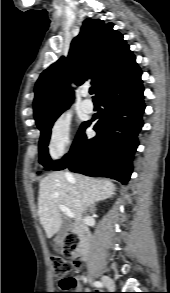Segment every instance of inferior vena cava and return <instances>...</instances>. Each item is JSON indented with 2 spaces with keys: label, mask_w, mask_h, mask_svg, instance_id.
Returning a JSON list of instances; mask_svg holds the SVG:
<instances>
[{
  "label": "inferior vena cava",
  "mask_w": 170,
  "mask_h": 293,
  "mask_svg": "<svg viewBox=\"0 0 170 293\" xmlns=\"http://www.w3.org/2000/svg\"><path fill=\"white\" fill-rule=\"evenodd\" d=\"M66 174H67L68 176H71V174H70V173H68V172H67Z\"/></svg>",
  "instance_id": "1"
}]
</instances>
